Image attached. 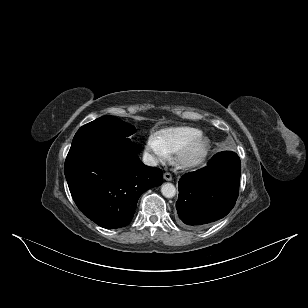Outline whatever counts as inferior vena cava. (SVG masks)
<instances>
[{"label":"inferior vena cava","mask_w":308,"mask_h":308,"mask_svg":"<svg viewBox=\"0 0 308 308\" xmlns=\"http://www.w3.org/2000/svg\"><path fill=\"white\" fill-rule=\"evenodd\" d=\"M143 163L147 166H156L158 164V161L150 154L145 153L143 155Z\"/></svg>","instance_id":"obj_1"}]
</instances>
